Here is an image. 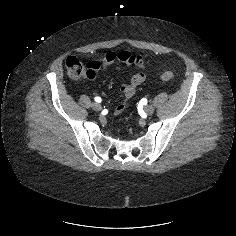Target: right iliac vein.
Segmentation results:
<instances>
[{"instance_id": "obj_1", "label": "right iliac vein", "mask_w": 236, "mask_h": 236, "mask_svg": "<svg viewBox=\"0 0 236 236\" xmlns=\"http://www.w3.org/2000/svg\"><path fill=\"white\" fill-rule=\"evenodd\" d=\"M92 108L95 111H100L102 109V106H101V104L95 102V103L92 104Z\"/></svg>"}]
</instances>
